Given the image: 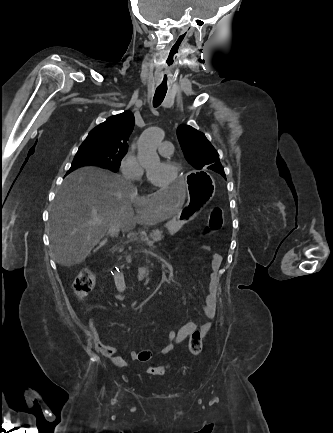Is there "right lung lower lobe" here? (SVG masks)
Instances as JSON below:
<instances>
[{
	"instance_id": "1",
	"label": "right lung lower lobe",
	"mask_w": 333,
	"mask_h": 433,
	"mask_svg": "<svg viewBox=\"0 0 333 433\" xmlns=\"http://www.w3.org/2000/svg\"><path fill=\"white\" fill-rule=\"evenodd\" d=\"M86 165H91V164H72L70 170L68 171V173H70L71 171H73L76 168H79L81 166H86Z\"/></svg>"
}]
</instances>
